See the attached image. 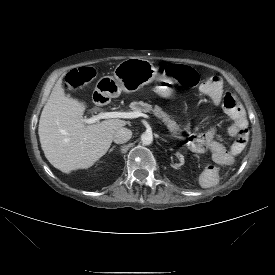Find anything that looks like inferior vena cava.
<instances>
[{
	"label": "inferior vena cava",
	"instance_id": "inferior-vena-cava-1",
	"mask_svg": "<svg viewBox=\"0 0 275 275\" xmlns=\"http://www.w3.org/2000/svg\"><path fill=\"white\" fill-rule=\"evenodd\" d=\"M131 137H132V132L130 129L120 128L114 133L113 141L116 144H123L129 141Z\"/></svg>",
	"mask_w": 275,
	"mask_h": 275
}]
</instances>
